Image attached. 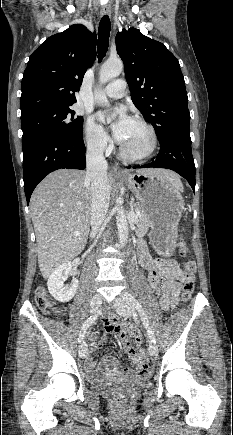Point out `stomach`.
Listing matches in <instances>:
<instances>
[{
    "label": "stomach",
    "instance_id": "1",
    "mask_svg": "<svg viewBox=\"0 0 233 435\" xmlns=\"http://www.w3.org/2000/svg\"><path fill=\"white\" fill-rule=\"evenodd\" d=\"M123 181L145 209L151 228L150 237L156 248L163 255H170L184 209L179 187L164 177L137 172L129 174Z\"/></svg>",
    "mask_w": 233,
    "mask_h": 435
}]
</instances>
